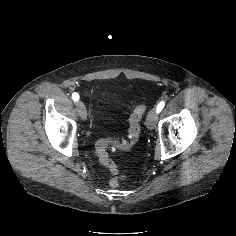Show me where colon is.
Instances as JSON below:
<instances>
[{"label": "colon", "instance_id": "1", "mask_svg": "<svg viewBox=\"0 0 236 236\" xmlns=\"http://www.w3.org/2000/svg\"><path fill=\"white\" fill-rule=\"evenodd\" d=\"M146 111V105L137 106L129 118L128 138L117 140L110 137L102 138L96 142L95 152L102 165H104L112 174L110 185L118 187L125 179V175L119 173L117 165L108 155V149H118L122 151L131 150L138 142L141 128L140 121Z\"/></svg>", "mask_w": 236, "mask_h": 236}]
</instances>
